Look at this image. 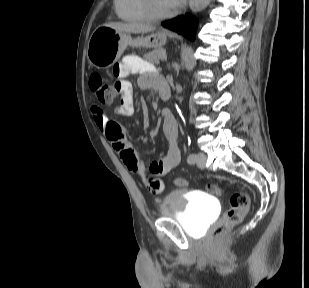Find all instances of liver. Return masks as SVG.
Segmentation results:
<instances>
[{"mask_svg":"<svg viewBox=\"0 0 309 288\" xmlns=\"http://www.w3.org/2000/svg\"><path fill=\"white\" fill-rule=\"evenodd\" d=\"M104 25L111 27L117 31H123L126 33H148V32L155 30L154 27L144 25V24H128V23H121V22H110Z\"/></svg>","mask_w":309,"mask_h":288,"instance_id":"liver-1","label":"liver"}]
</instances>
